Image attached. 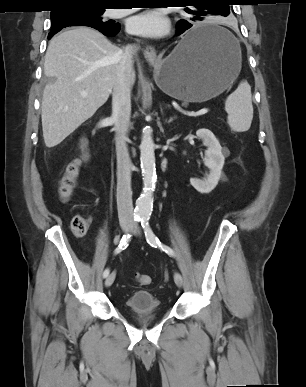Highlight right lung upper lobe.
Listing matches in <instances>:
<instances>
[{"mask_svg":"<svg viewBox=\"0 0 306 387\" xmlns=\"http://www.w3.org/2000/svg\"><path fill=\"white\" fill-rule=\"evenodd\" d=\"M110 0H56L57 9L51 12L61 11L62 8L73 7V6H96L102 7L109 5Z\"/></svg>","mask_w":306,"mask_h":387,"instance_id":"cb5924a9","label":"right lung upper lobe"}]
</instances>
